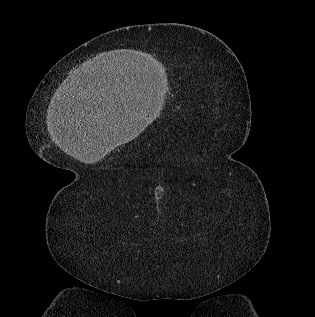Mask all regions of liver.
Listing matches in <instances>:
<instances>
[{
    "instance_id": "1",
    "label": "liver",
    "mask_w": 315,
    "mask_h": 317,
    "mask_svg": "<svg viewBox=\"0 0 315 317\" xmlns=\"http://www.w3.org/2000/svg\"><path fill=\"white\" fill-rule=\"evenodd\" d=\"M69 141H71L72 142V139H65V140H63V141H61V143H60V145H61V147L66 151V152H68L69 154H71V155H73V156H79L78 155V152H77V150H76V146H73L72 147V145L70 146V145H68L69 144Z\"/></svg>"
}]
</instances>
